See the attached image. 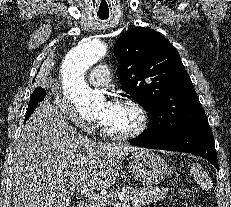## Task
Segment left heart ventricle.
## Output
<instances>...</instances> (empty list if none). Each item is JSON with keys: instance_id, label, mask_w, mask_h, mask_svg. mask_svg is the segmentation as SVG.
Masks as SVG:
<instances>
[{"instance_id": "b2bd125f", "label": "left heart ventricle", "mask_w": 231, "mask_h": 207, "mask_svg": "<svg viewBox=\"0 0 231 207\" xmlns=\"http://www.w3.org/2000/svg\"><path fill=\"white\" fill-rule=\"evenodd\" d=\"M98 118L113 132L128 133L139 125L136 111L127 104L103 102L97 113Z\"/></svg>"}]
</instances>
